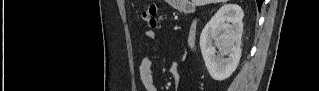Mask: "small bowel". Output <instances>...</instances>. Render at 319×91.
<instances>
[{"label": "small bowel", "mask_w": 319, "mask_h": 91, "mask_svg": "<svg viewBox=\"0 0 319 91\" xmlns=\"http://www.w3.org/2000/svg\"><path fill=\"white\" fill-rule=\"evenodd\" d=\"M145 36L148 40L153 41L156 39V33L152 30H147L145 32ZM151 65H152L151 57H144L139 64L140 79L145 91L157 90L153 84V79L151 74ZM170 70L174 78L177 79L179 76L178 65L177 64L173 65Z\"/></svg>", "instance_id": "small-bowel-1"}]
</instances>
